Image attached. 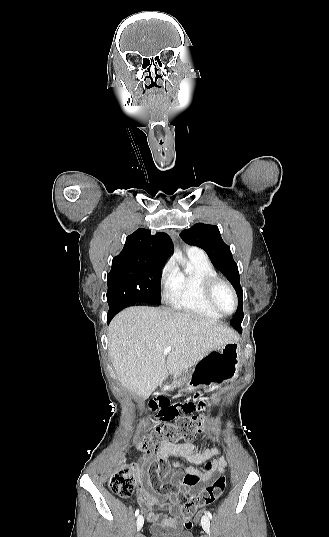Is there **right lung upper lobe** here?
<instances>
[{
    "mask_svg": "<svg viewBox=\"0 0 329 537\" xmlns=\"http://www.w3.org/2000/svg\"><path fill=\"white\" fill-rule=\"evenodd\" d=\"M172 253L171 239L163 232L155 235L140 228L127 236L123 250L113 258L112 269L166 263Z\"/></svg>",
    "mask_w": 329,
    "mask_h": 537,
    "instance_id": "right-lung-upper-lobe-1",
    "label": "right lung upper lobe"
}]
</instances>
